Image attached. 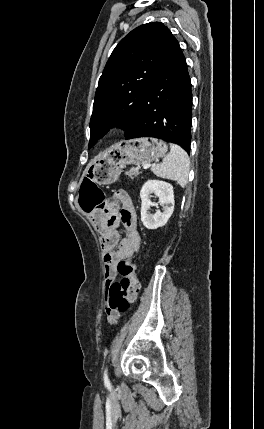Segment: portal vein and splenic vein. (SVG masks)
Wrapping results in <instances>:
<instances>
[{
    "mask_svg": "<svg viewBox=\"0 0 264 429\" xmlns=\"http://www.w3.org/2000/svg\"><path fill=\"white\" fill-rule=\"evenodd\" d=\"M152 165L150 163L143 165V169H148L150 168Z\"/></svg>",
    "mask_w": 264,
    "mask_h": 429,
    "instance_id": "portal-vein-and-splenic-vein-1",
    "label": "portal vein and splenic vein"
}]
</instances>
